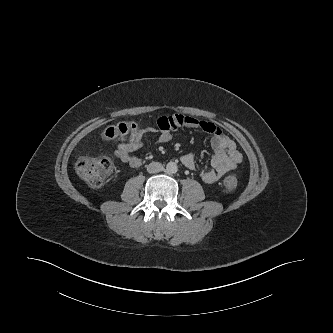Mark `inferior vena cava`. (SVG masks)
<instances>
[{"label": "inferior vena cava", "mask_w": 333, "mask_h": 333, "mask_svg": "<svg viewBox=\"0 0 333 333\" xmlns=\"http://www.w3.org/2000/svg\"><path fill=\"white\" fill-rule=\"evenodd\" d=\"M164 170V167L159 162H152L147 166V171L149 173H159Z\"/></svg>", "instance_id": "1"}]
</instances>
